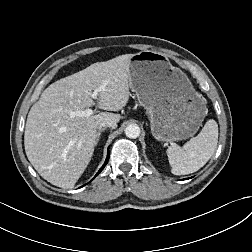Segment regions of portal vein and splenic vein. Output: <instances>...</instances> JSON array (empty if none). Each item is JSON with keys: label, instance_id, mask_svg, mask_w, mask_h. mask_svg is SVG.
Instances as JSON below:
<instances>
[{"label": "portal vein and splenic vein", "instance_id": "1", "mask_svg": "<svg viewBox=\"0 0 252 252\" xmlns=\"http://www.w3.org/2000/svg\"><path fill=\"white\" fill-rule=\"evenodd\" d=\"M103 89H104V86H101V87L95 89V90L93 91V93L91 94V97H92L93 99H97L98 93H99L101 90H103ZM93 113H94V111H93L92 109H89V108H88V109L81 110V111H72V112H70V115H71L72 117H75V116H85V117H89V116H91Z\"/></svg>", "mask_w": 252, "mask_h": 252}]
</instances>
